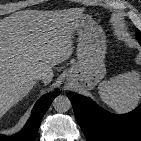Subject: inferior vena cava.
<instances>
[{"instance_id":"obj_1","label":"inferior vena cava","mask_w":141,"mask_h":141,"mask_svg":"<svg viewBox=\"0 0 141 141\" xmlns=\"http://www.w3.org/2000/svg\"><path fill=\"white\" fill-rule=\"evenodd\" d=\"M34 79L35 80H42L44 82H50L51 81V77L43 71H38L36 73H34Z\"/></svg>"}]
</instances>
